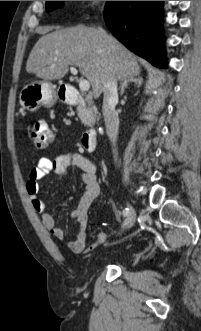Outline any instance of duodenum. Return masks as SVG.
<instances>
[{"label": "duodenum", "mask_w": 201, "mask_h": 331, "mask_svg": "<svg viewBox=\"0 0 201 331\" xmlns=\"http://www.w3.org/2000/svg\"><path fill=\"white\" fill-rule=\"evenodd\" d=\"M58 96L64 102L71 105H79L84 107L86 105V100L82 98L78 90L71 86H61L57 89ZM97 144V135L93 127L87 129L81 138L82 147L88 152H94Z\"/></svg>", "instance_id": "duodenum-1"}]
</instances>
